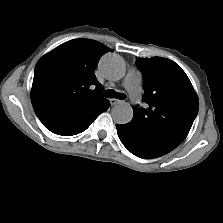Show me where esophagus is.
I'll return each instance as SVG.
<instances>
[{"instance_id": "obj_1", "label": "esophagus", "mask_w": 223, "mask_h": 223, "mask_svg": "<svg viewBox=\"0 0 223 223\" xmlns=\"http://www.w3.org/2000/svg\"><path fill=\"white\" fill-rule=\"evenodd\" d=\"M120 102H121L120 100L115 99V98L110 99V104H111L112 106H114V105H116V104H118V103H120Z\"/></svg>"}]
</instances>
